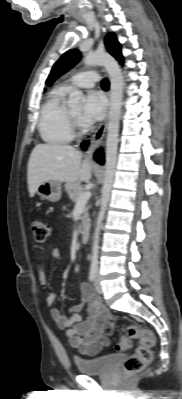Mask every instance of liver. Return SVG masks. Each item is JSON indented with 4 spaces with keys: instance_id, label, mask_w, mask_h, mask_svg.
<instances>
[{
    "instance_id": "liver-1",
    "label": "liver",
    "mask_w": 182,
    "mask_h": 399,
    "mask_svg": "<svg viewBox=\"0 0 182 399\" xmlns=\"http://www.w3.org/2000/svg\"><path fill=\"white\" fill-rule=\"evenodd\" d=\"M91 176L90 162L82 161V153L70 145L38 144L28 161L27 181L31 197L42 182L88 181Z\"/></svg>"
}]
</instances>
